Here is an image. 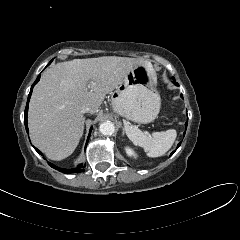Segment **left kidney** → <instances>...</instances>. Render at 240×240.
<instances>
[{
  "label": "left kidney",
  "instance_id": "5707ae66",
  "mask_svg": "<svg viewBox=\"0 0 240 240\" xmlns=\"http://www.w3.org/2000/svg\"><path fill=\"white\" fill-rule=\"evenodd\" d=\"M125 151H126V153H127L128 156L136 157V154L134 153V151H133L131 148L126 147V148H125Z\"/></svg>",
  "mask_w": 240,
  "mask_h": 240
}]
</instances>
